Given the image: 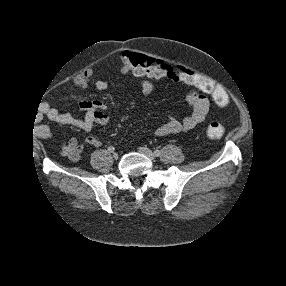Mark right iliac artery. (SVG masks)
I'll return each instance as SVG.
<instances>
[{"mask_svg": "<svg viewBox=\"0 0 286 286\" xmlns=\"http://www.w3.org/2000/svg\"><path fill=\"white\" fill-rule=\"evenodd\" d=\"M108 151L109 152H113L114 151V147H112V146L108 147Z\"/></svg>", "mask_w": 286, "mask_h": 286, "instance_id": "obj_1", "label": "right iliac artery"}]
</instances>
